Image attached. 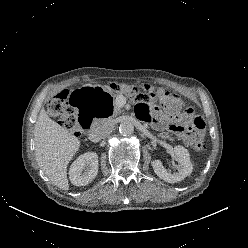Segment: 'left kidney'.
I'll list each match as a JSON object with an SVG mask.
<instances>
[{"mask_svg":"<svg viewBox=\"0 0 248 248\" xmlns=\"http://www.w3.org/2000/svg\"><path fill=\"white\" fill-rule=\"evenodd\" d=\"M174 153L182 166L177 173L172 174L167 172L160 160L152 161V167L156 175L168 183L182 181L184 178L190 176L193 170V165L190 161V155L186 148L180 145L175 146Z\"/></svg>","mask_w":248,"mask_h":248,"instance_id":"left-kidney-1","label":"left kidney"}]
</instances>
